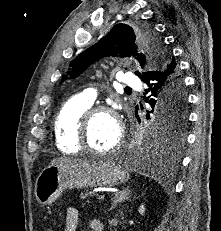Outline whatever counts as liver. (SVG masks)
Instances as JSON below:
<instances>
[{
    "mask_svg": "<svg viewBox=\"0 0 221 231\" xmlns=\"http://www.w3.org/2000/svg\"><path fill=\"white\" fill-rule=\"evenodd\" d=\"M78 161H82V160L61 157V158H57V159L52 160L49 166H52V165H62V164H67V163H72V162H78Z\"/></svg>",
    "mask_w": 221,
    "mask_h": 231,
    "instance_id": "6515ba94",
    "label": "liver"
}]
</instances>
